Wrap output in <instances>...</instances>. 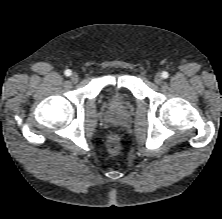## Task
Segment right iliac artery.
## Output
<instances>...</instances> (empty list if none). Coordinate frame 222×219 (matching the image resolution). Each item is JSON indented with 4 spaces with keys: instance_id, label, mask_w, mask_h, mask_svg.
I'll return each instance as SVG.
<instances>
[{
    "instance_id": "right-iliac-artery-1",
    "label": "right iliac artery",
    "mask_w": 222,
    "mask_h": 219,
    "mask_svg": "<svg viewBox=\"0 0 222 219\" xmlns=\"http://www.w3.org/2000/svg\"><path fill=\"white\" fill-rule=\"evenodd\" d=\"M64 73H65L66 76H70L71 75V70L67 69V70H65Z\"/></svg>"
}]
</instances>
